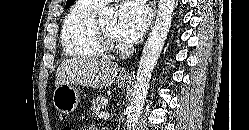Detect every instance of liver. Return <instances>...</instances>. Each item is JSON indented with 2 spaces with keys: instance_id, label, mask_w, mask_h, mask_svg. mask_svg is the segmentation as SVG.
Wrapping results in <instances>:
<instances>
[{
  "instance_id": "1",
  "label": "liver",
  "mask_w": 249,
  "mask_h": 130,
  "mask_svg": "<svg viewBox=\"0 0 249 130\" xmlns=\"http://www.w3.org/2000/svg\"><path fill=\"white\" fill-rule=\"evenodd\" d=\"M120 67L110 60L96 57H77L64 60L56 71L55 87L68 85H82L92 88L110 86Z\"/></svg>"
}]
</instances>
